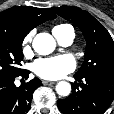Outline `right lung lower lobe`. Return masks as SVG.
I'll list each match as a JSON object with an SVG mask.
<instances>
[{
	"label": "right lung lower lobe",
	"instance_id": "1",
	"mask_svg": "<svg viewBox=\"0 0 114 114\" xmlns=\"http://www.w3.org/2000/svg\"><path fill=\"white\" fill-rule=\"evenodd\" d=\"M29 71L24 70L18 76L29 77ZM15 76L9 79H0V114H26L30 109L33 92L42 85L38 78H34L20 87L14 84Z\"/></svg>",
	"mask_w": 114,
	"mask_h": 114
}]
</instances>
